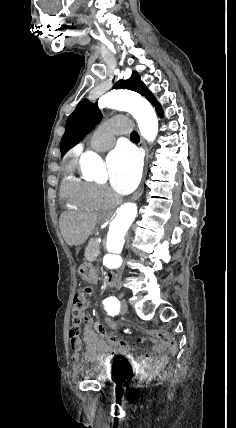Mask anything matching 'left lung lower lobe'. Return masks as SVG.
Instances as JSON below:
<instances>
[{
	"label": "left lung lower lobe",
	"instance_id": "left-lung-lower-lobe-1",
	"mask_svg": "<svg viewBox=\"0 0 236 428\" xmlns=\"http://www.w3.org/2000/svg\"><path fill=\"white\" fill-rule=\"evenodd\" d=\"M156 111L158 112V114L161 116L163 114L161 107L156 108Z\"/></svg>",
	"mask_w": 236,
	"mask_h": 428
}]
</instances>
